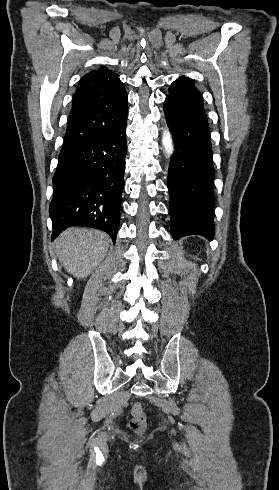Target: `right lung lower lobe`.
Returning <instances> with one entry per match:
<instances>
[{"label": "right lung lower lobe", "instance_id": "obj_1", "mask_svg": "<svg viewBox=\"0 0 279 490\" xmlns=\"http://www.w3.org/2000/svg\"><path fill=\"white\" fill-rule=\"evenodd\" d=\"M127 121L84 144L61 149L49 214L52 241L71 226L105 231L115 244L124 186Z\"/></svg>", "mask_w": 279, "mask_h": 490}]
</instances>
